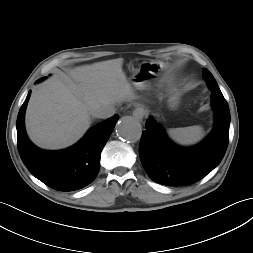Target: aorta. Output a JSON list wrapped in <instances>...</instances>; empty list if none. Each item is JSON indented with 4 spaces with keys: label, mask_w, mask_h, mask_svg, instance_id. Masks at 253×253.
Here are the masks:
<instances>
[{
    "label": "aorta",
    "mask_w": 253,
    "mask_h": 253,
    "mask_svg": "<svg viewBox=\"0 0 253 253\" xmlns=\"http://www.w3.org/2000/svg\"><path fill=\"white\" fill-rule=\"evenodd\" d=\"M116 134L124 141L137 142L142 135V126L133 117H124L116 125Z\"/></svg>",
    "instance_id": "762f6f07"
}]
</instances>
